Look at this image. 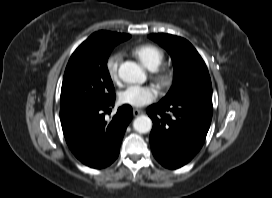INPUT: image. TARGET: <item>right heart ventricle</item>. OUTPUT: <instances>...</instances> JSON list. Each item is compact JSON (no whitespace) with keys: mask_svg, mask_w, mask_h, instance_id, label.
I'll return each instance as SVG.
<instances>
[{"mask_svg":"<svg viewBox=\"0 0 272 198\" xmlns=\"http://www.w3.org/2000/svg\"><path fill=\"white\" fill-rule=\"evenodd\" d=\"M132 54L148 69L155 70L164 59V52L152 44H141L135 46Z\"/></svg>","mask_w":272,"mask_h":198,"instance_id":"e07e8e85","label":"right heart ventricle"}]
</instances>
